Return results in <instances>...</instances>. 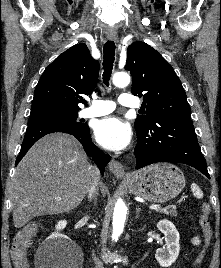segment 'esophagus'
<instances>
[{"mask_svg":"<svg viewBox=\"0 0 221 268\" xmlns=\"http://www.w3.org/2000/svg\"><path fill=\"white\" fill-rule=\"evenodd\" d=\"M108 38L110 40H114L116 37L114 34H109ZM110 171L117 177V178H124L126 177L125 169L124 166L116 161V160H111L109 164Z\"/></svg>","mask_w":221,"mask_h":268,"instance_id":"obj_1","label":"esophagus"}]
</instances>
